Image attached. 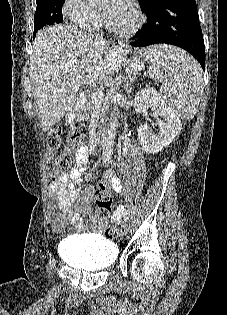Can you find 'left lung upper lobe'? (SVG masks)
I'll list each match as a JSON object with an SVG mask.
<instances>
[{
	"label": "left lung upper lobe",
	"instance_id": "1",
	"mask_svg": "<svg viewBox=\"0 0 227 315\" xmlns=\"http://www.w3.org/2000/svg\"><path fill=\"white\" fill-rule=\"evenodd\" d=\"M161 1L165 0H139V4L143 12H148L151 11Z\"/></svg>",
	"mask_w": 227,
	"mask_h": 315
}]
</instances>
